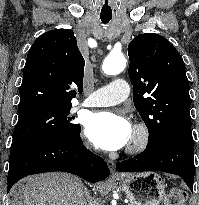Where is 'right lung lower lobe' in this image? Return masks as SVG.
<instances>
[{
    "mask_svg": "<svg viewBox=\"0 0 199 205\" xmlns=\"http://www.w3.org/2000/svg\"><path fill=\"white\" fill-rule=\"evenodd\" d=\"M52 171L72 173L92 183L110 174L106 162L82 144L80 133L63 135L10 151L7 192L27 175Z\"/></svg>",
    "mask_w": 199,
    "mask_h": 205,
    "instance_id": "right-lung-lower-lobe-1",
    "label": "right lung lower lobe"
}]
</instances>
